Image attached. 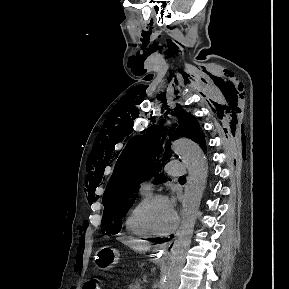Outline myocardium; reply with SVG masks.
<instances>
[{
  "label": "myocardium",
  "mask_w": 289,
  "mask_h": 289,
  "mask_svg": "<svg viewBox=\"0 0 289 289\" xmlns=\"http://www.w3.org/2000/svg\"><path fill=\"white\" fill-rule=\"evenodd\" d=\"M167 199L165 195L163 194H153L151 195L148 200L146 201L142 213H141V221L145 227V229L149 232L151 236L161 237V236H167L171 234L177 227L178 219L176 214H174V219L171 224V226L164 231L157 230L152 222H151V210L154 206V204L159 200Z\"/></svg>",
  "instance_id": "1"
}]
</instances>
